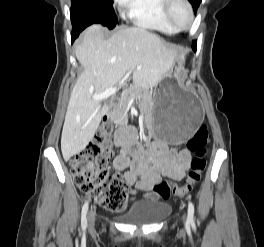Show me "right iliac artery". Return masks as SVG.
I'll use <instances>...</instances> for the list:
<instances>
[{"label": "right iliac artery", "mask_w": 264, "mask_h": 247, "mask_svg": "<svg viewBox=\"0 0 264 247\" xmlns=\"http://www.w3.org/2000/svg\"><path fill=\"white\" fill-rule=\"evenodd\" d=\"M89 203L88 201L84 203L82 207V214H81V227L82 230L85 231L87 227V212H88Z\"/></svg>", "instance_id": "1"}]
</instances>
